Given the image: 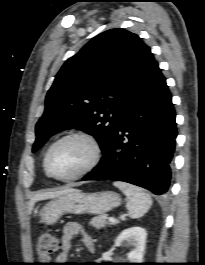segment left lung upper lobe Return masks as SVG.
<instances>
[{"label":"left lung upper lobe","instance_id":"5c2ea615","mask_svg":"<svg viewBox=\"0 0 205 265\" xmlns=\"http://www.w3.org/2000/svg\"><path fill=\"white\" fill-rule=\"evenodd\" d=\"M156 64L134 33L110 29L94 37L56 75L32 151L55 133L77 128L93 135L104 152L121 112Z\"/></svg>","mask_w":205,"mask_h":265}]
</instances>
